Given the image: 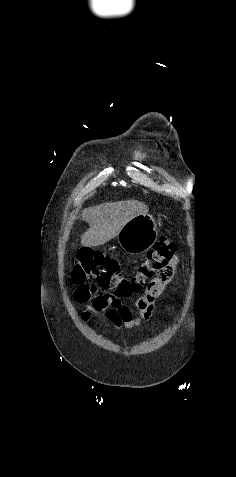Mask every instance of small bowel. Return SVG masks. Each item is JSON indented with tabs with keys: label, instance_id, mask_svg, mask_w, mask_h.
<instances>
[{
	"label": "small bowel",
	"instance_id": "1",
	"mask_svg": "<svg viewBox=\"0 0 236 477\" xmlns=\"http://www.w3.org/2000/svg\"><path fill=\"white\" fill-rule=\"evenodd\" d=\"M161 294L159 291H147L135 302V309L120 308L113 309L110 305L102 302L100 298L91 305H86L82 313V320L87 321L93 316L104 313L107 321L114 327H125L132 329L139 326L143 321L150 319L156 309L155 299Z\"/></svg>",
	"mask_w": 236,
	"mask_h": 477
}]
</instances>
